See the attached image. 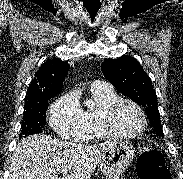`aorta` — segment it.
<instances>
[{
    "instance_id": "obj_1",
    "label": "aorta",
    "mask_w": 183,
    "mask_h": 179,
    "mask_svg": "<svg viewBox=\"0 0 183 179\" xmlns=\"http://www.w3.org/2000/svg\"><path fill=\"white\" fill-rule=\"evenodd\" d=\"M85 105L88 107V108H92L94 106V102L91 101V100H86L85 101Z\"/></svg>"
}]
</instances>
